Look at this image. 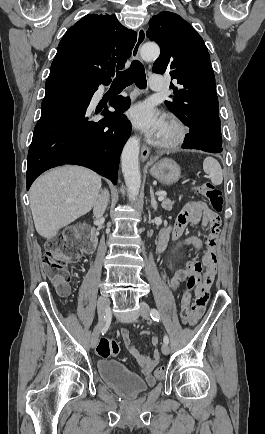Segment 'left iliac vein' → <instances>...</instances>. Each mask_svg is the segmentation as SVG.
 I'll return each instance as SVG.
<instances>
[{"label":"left iliac vein","instance_id":"4c4485c4","mask_svg":"<svg viewBox=\"0 0 265 434\" xmlns=\"http://www.w3.org/2000/svg\"><path fill=\"white\" fill-rule=\"evenodd\" d=\"M140 315L145 320L150 319L149 305L146 302H140ZM161 350H162V353L165 355L169 354V352H170L169 346L165 343L162 345Z\"/></svg>","mask_w":265,"mask_h":434}]
</instances>
